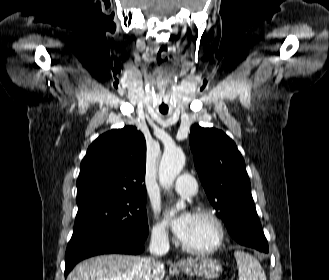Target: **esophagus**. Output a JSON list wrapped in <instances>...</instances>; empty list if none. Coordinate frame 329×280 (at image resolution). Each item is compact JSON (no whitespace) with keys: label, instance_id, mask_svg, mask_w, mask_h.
Returning <instances> with one entry per match:
<instances>
[{"label":"esophagus","instance_id":"1","mask_svg":"<svg viewBox=\"0 0 329 280\" xmlns=\"http://www.w3.org/2000/svg\"><path fill=\"white\" fill-rule=\"evenodd\" d=\"M187 263V261L185 260V259H181L180 261H179V264H186Z\"/></svg>","mask_w":329,"mask_h":280}]
</instances>
